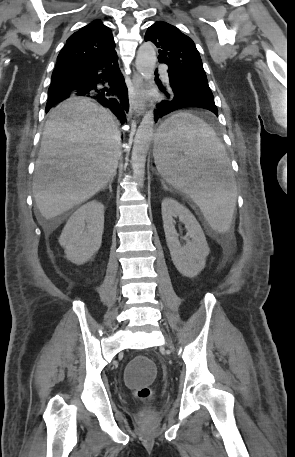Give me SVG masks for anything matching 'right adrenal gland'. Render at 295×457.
<instances>
[{
	"mask_svg": "<svg viewBox=\"0 0 295 457\" xmlns=\"http://www.w3.org/2000/svg\"><path fill=\"white\" fill-rule=\"evenodd\" d=\"M112 183H113V179H111V180L108 182V185L105 186V187L103 188V190L109 188L110 193H112Z\"/></svg>",
	"mask_w": 295,
	"mask_h": 457,
	"instance_id": "right-adrenal-gland-1",
	"label": "right adrenal gland"
}]
</instances>
